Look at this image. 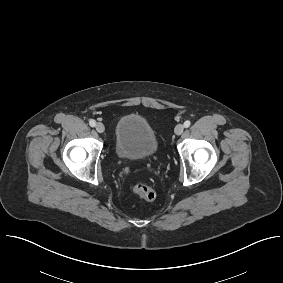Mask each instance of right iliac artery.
Wrapping results in <instances>:
<instances>
[{"mask_svg": "<svg viewBox=\"0 0 283 283\" xmlns=\"http://www.w3.org/2000/svg\"><path fill=\"white\" fill-rule=\"evenodd\" d=\"M89 124H90L91 127H94V126L96 125V121L93 120V119H91V120L89 121Z\"/></svg>", "mask_w": 283, "mask_h": 283, "instance_id": "obj_1", "label": "right iliac artery"}]
</instances>
